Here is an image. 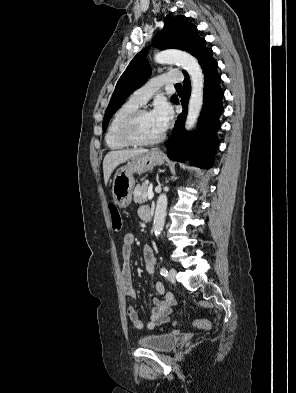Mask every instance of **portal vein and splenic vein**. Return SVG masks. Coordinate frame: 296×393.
<instances>
[{"instance_id": "portal-vein-and-splenic-vein-1", "label": "portal vein and splenic vein", "mask_w": 296, "mask_h": 393, "mask_svg": "<svg viewBox=\"0 0 296 393\" xmlns=\"http://www.w3.org/2000/svg\"><path fill=\"white\" fill-rule=\"evenodd\" d=\"M147 196L149 199L153 198L152 184L149 185Z\"/></svg>"}]
</instances>
